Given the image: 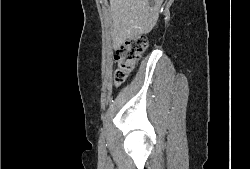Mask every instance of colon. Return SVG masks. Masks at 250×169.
<instances>
[{
	"label": "colon",
	"instance_id": "obj_1",
	"mask_svg": "<svg viewBox=\"0 0 250 169\" xmlns=\"http://www.w3.org/2000/svg\"><path fill=\"white\" fill-rule=\"evenodd\" d=\"M146 43H151V38L146 34H133L131 38H124L117 48L115 55L114 83L121 85L130 76L137 66Z\"/></svg>",
	"mask_w": 250,
	"mask_h": 169
}]
</instances>
